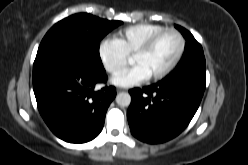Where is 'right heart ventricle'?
<instances>
[{
    "mask_svg": "<svg viewBox=\"0 0 248 165\" xmlns=\"http://www.w3.org/2000/svg\"><path fill=\"white\" fill-rule=\"evenodd\" d=\"M160 24L138 23L119 30L114 39L119 43L127 55H131L151 35L164 29Z\"/></svg>",
    "mask_w": 248,
    "mask_h": 165,
    "instance_id": "obj_1",
    "label": "right heart ventricle"
}]
</instances>
